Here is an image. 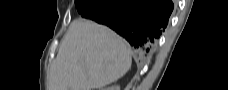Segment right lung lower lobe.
Instances as JSON below:
<instances>
[{
    "mask_svg": "<svg viewBox=\"0 0 228 90\" xmlns=\"http://www.w3.org/2000/svg\"><path fill=\"white\" fill-rule=\"evenodd\" d=\"M84 18L106 25L125 38L144 59L151 54L173 10L171 0H104Z\"/></svg>",
    "mask_w": 228,
    "mask_h": 90,
    "instance_id": "1",
    "label": "right lung lower lobe"
}]
</instances>
